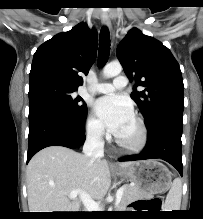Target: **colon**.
I'll list each match as a JSON object with an SVG mask.
<instances>
[{
	"instance_id": "1",
	"label": "colon",
	"mask_w": 203,
	"mask_h": 219,
	"mask_svg": "<svg viewBox=\"0 0 203 219\" xmlns=\"http://www.w3.org/2000/svg\"><path fill=\"white\" fill-rule=\"evenodd\" d=\"M147 207L152 210H159L161 207V199L153 198L147 202Z\"/></svg>"
}]
</instances>
